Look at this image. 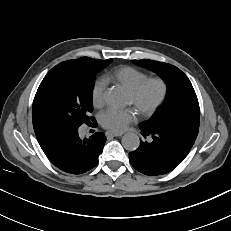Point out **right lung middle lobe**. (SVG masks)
I'll return each instance as SVG.
<instances>
[{
  "label": "right lung middle lobe",
  "mask_w": 231,
  "mask_h": 231,
  "mask_svg": "<svg viewBox=\"0 0 231 231\" xmlns=\"http://www.w3.org/2000/svg\"><path fill=\"white\" fill-rule=\"evenodd\" d=\"M112 59L69 60L53 67L42 80L32 107L33 127L79 128L94 118L91 94L94 77Z\"/></svg>",
  "instance_id": "dd1d6c3e"
}]
</instances>
